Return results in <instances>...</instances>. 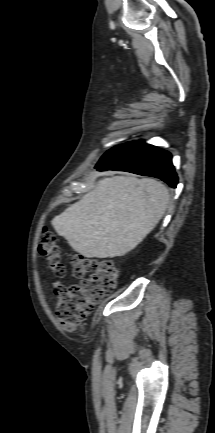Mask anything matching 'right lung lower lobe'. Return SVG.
<instances>
[{"instance_id": "1", "label": "right lung lower lobe", "mask_w": 215, "mask_h": 433, "mask_svg": "<svg viewBox=\"0 0 215 433\" xmlns=\"http://www.w3.org/2000/svg\"><path fill=\"white\" fill-rule=\"evenodd\" d=\"M96 168L99 171H127L160 178L172 188H176L178 183L171 154L142 141H133L106 162L97 164Z\"/></svg>"}]
</instances>
